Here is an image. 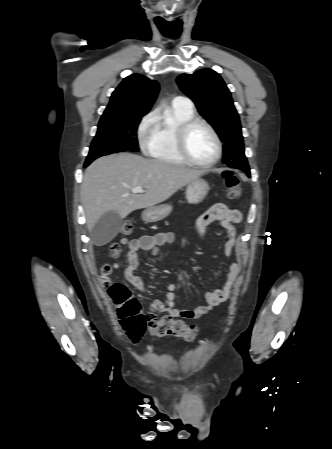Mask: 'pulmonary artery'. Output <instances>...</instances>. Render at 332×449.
Masks as SVG:
<instances>
[{
    "label": "pulmonary artery",
    "instance_id": "e3ab8cb5",
    "mask_svg": "<svg viewBox=\"0 0 332 449\" xmlns=\"http://www.w3.org/2000/svg\"><path fill=\"white\" fill-rule=\"evenodd\" d=\"M173 104L178 105V106H183L189 109L193 108V103L186 97L183 96H176L173 99Z\"/></svg>",
    "mask_w": 332,
    "mask_h": 449
}]
</instances>
